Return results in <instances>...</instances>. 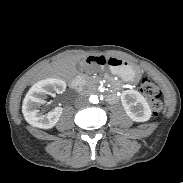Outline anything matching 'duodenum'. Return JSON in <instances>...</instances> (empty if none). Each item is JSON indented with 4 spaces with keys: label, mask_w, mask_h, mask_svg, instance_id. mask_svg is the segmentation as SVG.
<instances>
[{
    "label": "duodenum",
    "mask_w": 183,
    "mask_h": 183,
    "mask_svg": "<svg viewBox=\"0 0 183 183\" xmlns=\"http://www.w3.org/2000/svg\"><path fill=\"white\" fill-rule=\"evenodd\" d=\"M93 68L91 66H88L86 70H84L81 74H78L75 76L74 80L72 81L71 85L75 87L76 89H79L81 87V84L84 83L85 78L89 75V73H92Z\"/></svg>",
    "instance_id": "duodenum-1"
}]
</instances>
